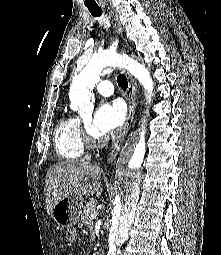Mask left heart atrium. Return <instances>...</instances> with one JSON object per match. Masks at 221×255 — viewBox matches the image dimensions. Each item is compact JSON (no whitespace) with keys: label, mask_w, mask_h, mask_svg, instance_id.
<instances>
[{"label":"left heart atrium","mask_w":221,"mask_h":255,"mask_svg":"<svg viewBox=\"0 0 221 255\" xmlns=\"http://www.w3.org/2000/svg\"><path fill=\"white\" fill-rule=\"evenodd\" d=\"M125 110L121 102H105L97 109L93 129L98 135H107L118 129L123 123Z\"/></svg>","instance_id":"1"}]
</instances>
